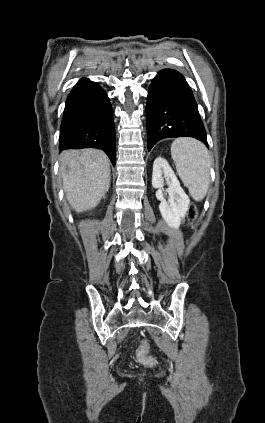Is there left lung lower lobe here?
<instances>
[{"label": "left lung lower lobe", "instance_id": "1", "mask_svg": "<svg viewBox=\"0 0 265 423\" xmlns=\"http://www.w3.org/2000/svg\"><path fill=\"white\" fill-rule=\"evenodd\" d=\"M147 146L161 139L193 137L208 146L206 131L194 95L185 78L172 69L153 79L146 105Z\"/></svg>", "mask_w": 265, "mask_h": 423}]
</instances>
